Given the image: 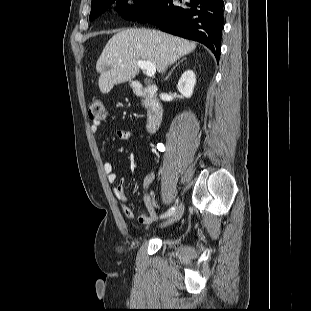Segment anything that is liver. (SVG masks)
<instances>
[{"instance_id":"obj_1","label":"liver","mask_w":311,"mask_h":311,"mask_svg":"<svg viewBox=\"0 0 311 311\" xmlns=\"http://www.w3.org/2000/svg\"><path fill=\"white\" fill-rule=\"evenodd\" d=\"M195 48V42L157 30L120 31L108 41L98 59L100 91L106 94L114 85L133 79L139 73L138 60L150 61L162 72Z\"/></svg>"}]
</instances>
